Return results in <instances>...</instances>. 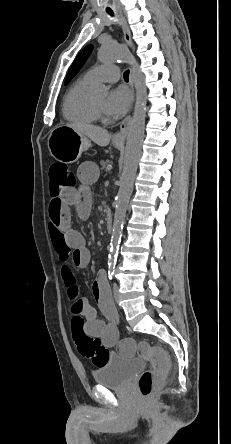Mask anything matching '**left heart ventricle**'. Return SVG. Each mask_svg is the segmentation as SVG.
Wrapping results in <instances>:
<instances>
[{"label":"left heart ventricle","instance_id":"b2bd125f","mask_svg":"<svg viewBox=\"0 0 231 444\" xmlns=\"http://www.w3.org/2000/svg\"><path fill=\"white\" fill-rule=\"evenodd\" d=\"M94 105L99 108L100 110H104V106H105V99H100L96 102H94Z\"/></svg>","mask_w":231,"mask_h":444}]
</instances>
